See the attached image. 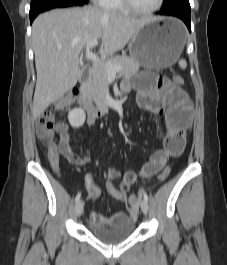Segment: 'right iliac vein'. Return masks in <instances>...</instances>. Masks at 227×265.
<instances>
[{"instance_id": "right-iliac-vein-1", "label": "right iliac vein", "mask_w": 227, "mask_h": 265, "mask_svg": "<svg viewBox=\"0 0 227 265\" xmlns=\"http://www.w3.org/2000/svg\"><path fill=\"white\" fill-rule=\"evenodd\" d=\"M84 208V203L82 200H79L75 205V214L77 217H80Z\"/></svg>"}]
</instances>
